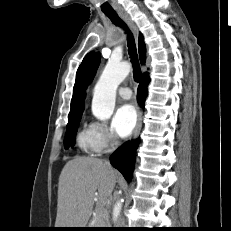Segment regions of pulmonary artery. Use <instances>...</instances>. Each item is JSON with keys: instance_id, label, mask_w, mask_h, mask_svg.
I'll return each instance as SVG.
<instances>
[{"instance_id": "1", "label": "pulmonary artery", "mask_w": 231, "mask_h": 231, "mask_svg": "<svg viewBox=\"0 0 231 231\" xmlns=\"http://www.w3.org/2000/svg\"><path fill=\"white\" fill-rule=\"evenodd\" d=\"M118 94L123 98V99H130L132 96V91L128 87H120L118 89Z\"/></svg>"}]
</instances>
